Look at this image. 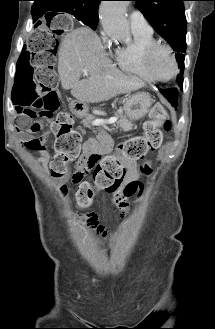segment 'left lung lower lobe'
I'll use <instances>...</instances> for the list:
<instances>
[{
    "instance_id": "obj_1",
    "label": "left lung lower lobe",
    "mask_w": 215,
    "mask_h": 329,
    "mask_svg": "<svg viewBox=\"0 0 215 329\" xmlns=\"http://www.w3.org/2000/svg\"><path fill=\"white\" fill-rule=\"evenodd\" d=\"M183 87H180L182 90ZM161 93L168 99V101L172 104L173 107L177 106V98H178V91L176 88L171 89H160Z\"/></svg>"
}]
</instances>
